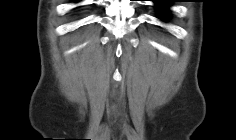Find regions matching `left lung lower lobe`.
Listing matches in <instances>:
<instances>
[{"label": "left lung lower lobe", "mask_w": 236, "mask_h": 140, "mask_svg": "<svg viewBox=\"0 0 236 140\" xmlns=\"http://www.w3.org/2000/svg\"><path fill=\"white\" fill-rule=\"evenodd\" d=\"M176 0H154L156 3V7L158 11L160 12L161 16H166L167 14V7L170 5V3L175 2Z\"/></svg>", "instance_id": "obj_1"}]
</instances>
